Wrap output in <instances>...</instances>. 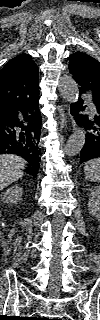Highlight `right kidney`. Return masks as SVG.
<instances>
[{
    "label": "right kidney",
    "mask_w": 100,
    "mask_h": 320,
    "mask_svg": "<svg viewBox=\"0 0 100 320\" xmlns=\"http://www.w3.org/2000/svg\"><path fill=\"white\" fill-rule=\"evenodd\" d=\"M23 190L20 186L15 185L7 189L2 195V201L6 204H15L22 197Z\"/></svg>",
    "instance_id": "obj_1"
}]
</instances>
